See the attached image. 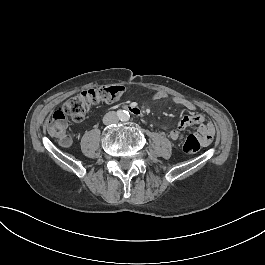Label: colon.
I'll list each match as a JSON object with an SVG mask.
<instances>
[{"label": "colon", "mask_w": 265, "mask_h": 265, "mask_svg": "<svg viewBox=\"0 0 265 265\" xmlns=\"http://www.w3.org/2000/svg\"><path fill=\"white\" fill-rule=\"evenodd\" d=\"M123 92L124 87L121 85L101 86L80 92L78 95L67 99L55 110L46 124L48 132L58 140L62 147H69L71 137L68 133L67 117L82 121L93 107L99 104H111L118 100ZM201 146L198 137L189 134L185 138L183 151L186 154H194Z\"/></svg>", "instance_id": "5ec220e1"}]
</instances>
